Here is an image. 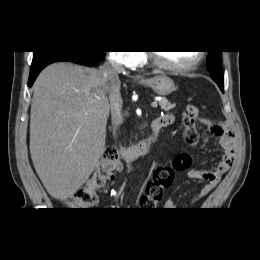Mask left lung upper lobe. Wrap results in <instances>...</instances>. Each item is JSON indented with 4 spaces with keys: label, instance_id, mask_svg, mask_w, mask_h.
I'll list each match as a JSON object with an SVG mask.
<instances>
[{
    "label": "left lung upper lobe",
    "instance_id": "left-lung-upper-lobe-1",
    "mask_svg": "<svg viewBox=\"0 0 260 260\" xmlns=\"http://www.w3.org/2000/svg\"><path fill=\"white\" fill-rule=\"evenodd\" d=\"M219 52L220 51H208L206 65L212 78L224 79Z\"/></svg>",
    "mask_w": 260,
    "mask_h": 260
}]
</instances>
